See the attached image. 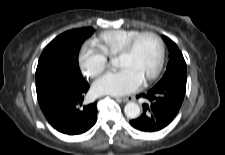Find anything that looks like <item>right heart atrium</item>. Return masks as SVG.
<instances>
[{
    "label": "right heart atrium",
    "instance_id": "right-heart-atrium-1",
    "mask_svg": "<svg viewBox=\"0 0 225 155\" xmlns=\"http://www.w3.org/2000/svg\"><path fill=\"white\" fill-rule=\"evenodd\" d=\"M78 62L85 76L95 78L105 70L107 57L91 45L85 44L79 52Z\"/></svg>",
    "mask_w": 225,
    "mask_h": 155
}]
</instances>
